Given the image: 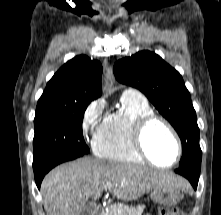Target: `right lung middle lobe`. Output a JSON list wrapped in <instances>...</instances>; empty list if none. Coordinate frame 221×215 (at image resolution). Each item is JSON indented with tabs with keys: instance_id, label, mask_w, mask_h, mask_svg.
I'll use <instances>...</instances> for the list:
<instances>
[{
	"instance_id": "1",
	"label": "right lung middle lobe",
	"mask_w": 221,
	"mask_h": 215,
	"mask_svg": "<svg viewBox=\"0 0 221 215\" xmlns=\"http://www.w3.org/2000/svg\"><path fill=\"white\" fill-rule=\"evenodd\" d=\"M88 104L37 105L34 119L33 167L58 155L90 152L82 133V120Z\"/></svg>"
}]
</instances>
